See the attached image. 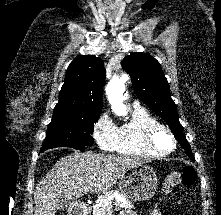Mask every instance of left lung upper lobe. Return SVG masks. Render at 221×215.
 <instances>
[{"mask_svg":"<svg viewBox=\"0 0 221 215\" xmlns=\"http://www.w3.org/2000/svg\"><path fill=\"white\" fill-rule=\"evenodd\" d=\"M121 64L130 74L138 98L169 125L185 152L195 160L179 122L176 104L171 98L169 84L160 63L148 53L136 52L126 56Z\"/></svg>","mask_w":221,"mask_h":215,"instance_id":"5c2ea615","label":"left lung upper lobe"}]
</instances>
